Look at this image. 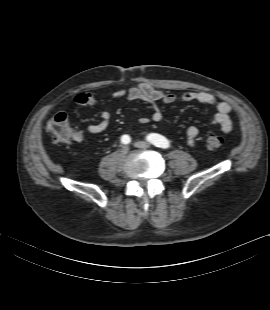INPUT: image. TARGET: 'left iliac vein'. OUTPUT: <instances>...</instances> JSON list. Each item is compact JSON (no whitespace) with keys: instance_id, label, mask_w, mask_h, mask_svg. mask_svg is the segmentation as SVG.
I'll return each instance as SVG.
<instances>
[{"instance_id":"obj_1","label":"left iliac vein","mask_w":270,"mask_h":310,"mask_svg":"<svg viewBox=\"0 0 270 310\" xmlns=\"http://www.w3.org/2000/svg\"><path fill=\"white\" fill-rule=\"evenodd\" d=\"M135 147L137 148H143V149H147L150 148V143L145 142V141H137L134 143Z\"/></svg>"}]
</instances>
